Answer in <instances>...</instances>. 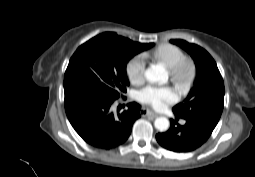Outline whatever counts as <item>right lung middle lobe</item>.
Segmentation results:
<instances>
[{
	"label": "right lung middle lobe",
	"instance_id": "obj_1",
	"mask_svg": "<svg viewBox=\"0 0 255 177\" xmlns=\"http://www.w3.org/2000/svg\"><path fill=\"white\" fill-rule=\"evenodd\" d=\"M153 45L129 39L114 43L99 35L90 39L71 57L64 76V90L72 87L92 88L119 98L129 85L126 74L128 61Z\"/></svg>",
	"mask_w": 255,
	"mask_h": 177
}]
</instances>
